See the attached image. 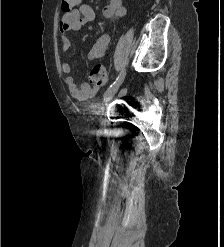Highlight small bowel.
<instances>
[{
    "mask_svg": "<svg viewBox=\"0 0 224 247\" xmlns=\"http://www.w3.org/2000/svg\"><path fill=\"white\" fill-rule=\"evenodd\" d=\"M127 9L123 5L122 0H109L104 7L103 14L111 21H115L126 15ZM96 15L91 6L82 4L78 8L73 9L69 13H65L60 21L61 48L62 51L68 52L71 49V39L68 36L71 32H78L85 24L93 22ZM110 38L107 34L101 35L90 47L87 58L89 61H95L102 57L108 47ZM64 74L68 75L65 79L70 94L78 100H86L94 96L98 90V86L83 83L77 86L73 77L69 74L71 66L68 62H64L61 66Z\"/></svg>",
    "mask_w": 224,
    "mask_h": 247,
    "instance_id": "obj_1",
    "label": "small bowel"
}]
</instances>
